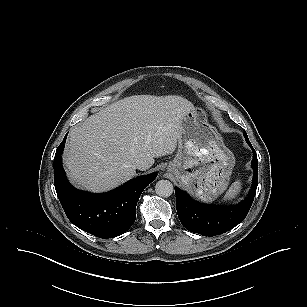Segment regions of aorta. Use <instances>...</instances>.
Here are the masks:
<instances>
[{
	"label": "aorta",
	"instance_id": "aorta-1",
	"mask_svg": "<svg viewBox=\"0 0 307 307\" xmlns=\"http://www.w3.org/2000/svg\"><path fill=\"white\" fill-rule=\"evenodd\" d=\"M155 191L160 197H169L174 191L173 184L169 180H159L156 183Z\"/></svg>",
	"mask_w": 307,
	"mask_h": 307
}]
</instances>
